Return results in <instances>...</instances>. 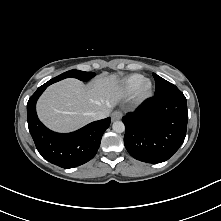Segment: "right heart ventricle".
I'll return each mask as SVG.
<instances>
[{"mask_svg":"<svg viewBox=\"0 0 221 221\" xmlns=\"http://www.w3.org/2000/svg\"><path fill=\"white\" fill-rule=\"evenodd\" d=\"M144 77L140 74H131L127 76L122 82V90L126 94L136 92L140 84L143 82Z\"/></svg>","mask_w":221,"mask_h":221,"instance_id":"right-heart-ventricle-1","label":"right heart ventricle"}]
</instances>
